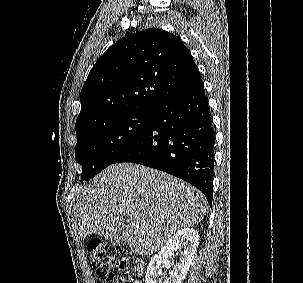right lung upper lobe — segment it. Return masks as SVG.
<instances>
[{"label":"right lung upper lobe","mask_w":303,"mask_h":283,"mask_svg":"<svg viewBox=\"0 0 303 283\" xmlns=\"http://www.w3.org/2000/svg\"><path fill=\"white\" fill-rule=\"evenodd\" d=\"M201 81L190 51L162 29L136 32L95 63L81 91L76 132L130 111H154Z\"/></svg>","instance_id":"obj_1"}]
</instances>
